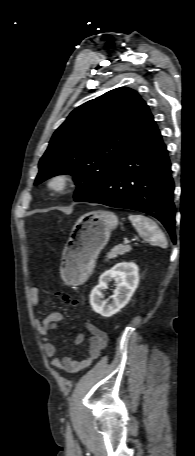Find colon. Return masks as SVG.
Masks as SVG:
<instances>
[{
    "instance_id": "1",
    "label": "colon",
    "mask_w": 195,
    "mask_h": 456,
    "mask_svg": "<svg viewBox=\"0 0 195 456\" xmlns=\"http://www.w3.org/2000/svg\"><path fill=\"white\" fill-rule=\"evenodd\" d=\"M63 300L66 301V302H68V301H69V297H68V296H64V297H63Z\"/></svg>"
}]
</instances>
